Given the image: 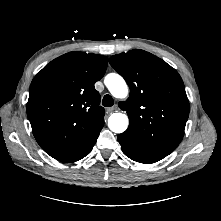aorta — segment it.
Returning a JSON list of instances; mask_svg holds the SVG:
<instances>
[{"label": "aorta", "instance_id": "aorta-1", "mask_svg": "<svg viewBox=\"0 0 221 221\" xmlns=\"http://www.w3.org/2000/svg\"><path fill=\"white\" fill-rule=\"evenodd\" d=\"M104 83L112 96L124 99L128 95V86L125 80L116 73H110L105 77ZM129 125L127 115L123 113H113L108 119V127L112 132L123 133Z\"/></svg>", "mask_w": 221, "mask_h": 221}]
</instances>
